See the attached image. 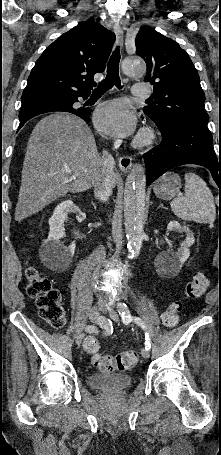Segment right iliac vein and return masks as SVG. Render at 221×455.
Returning <instances> with one entry per match:
<instances>
[{
    "label": "right iliac vein",
    "instance_id": "right-iliac-vein-1",
    "mask_svg": "<svg viewBox=\"0 0 221 455\" xmlns=\"http://www.w3.org/2000/svg\"><path fill=\"white\" fill-rule=\"evenodd\" d=\"M98 319H99L98 309H97V307H93L92 310H91V312H90V320H91L92 322H97ZM83 337H84V334L78 335V337H77V339H76V343H77L78 345L81 344V342H82V340H83Z\"/></svg>",
    "mask_w": 221,
    "mask_h": 455
}]
</instances>
